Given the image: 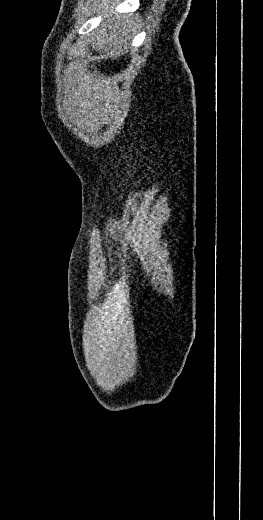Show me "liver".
I'll return each instance as SVG.
<instances>
[{
  "instance_id": "liver-1",
  "label": "liver",
  "mask_w": 263,
  "mask_h": 520,
  "mask_svg": "<svg viewBox=\"0 0 263 520\" xmlns=\"http://www.w3.org/2000/svg\"><path fill=\"white\" fill-rule=\"evenodd\" d=\"M130 25L131 21L126 16L108 19L97 33L98 49L103 50L108 44L110 48H113L111 52L114 54L113 56H119L124 42L123 36L126 35Z\"/></svg>"
}]
</instances>
